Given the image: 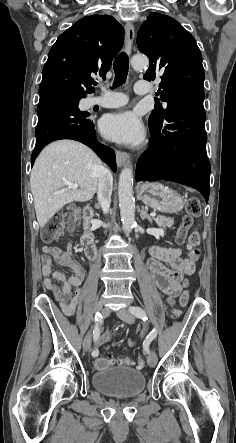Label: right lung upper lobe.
Masks as SVG:
<instances>
[{"instance_id":"cb5924a9","label":"right lung upper lobe","mask_w":236,"mask_h":443,"mask_svg":"<svg viewBox=\"0 0 236 443\" xmlns=\"http://www.w3.org/2000/svg\"><path fill=\"white\" fill-rule=\"evenodd\" d=\"M123 39L124 29L112 16L83 17L50 49L39 94L86 96L94 92L91 74L106 76Z\"/></svg>"}]
</instances>
